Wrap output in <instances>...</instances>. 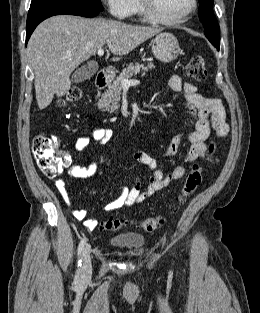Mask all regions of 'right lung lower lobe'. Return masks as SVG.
Returning <instances> with one entry per match:
<instances>
[{
    "instance_id": "1",
    "label": "right lung lower lobe",
    "mask_w": 260,
    "mask_h": 313,
    "mask_svg": "<svg viewBox=\"0 0 260 313\" xmlns=\"http://www.w3.org/2000/svg\"><path fill=\"white\" fill-rule=\"evenodd\" d=\"M99 12V10L74 5L41 4L30 6L26 25V44L36 26L46 18L54 15H76L91 18L97 16Z\"/></svg>"
}]
</instances>
